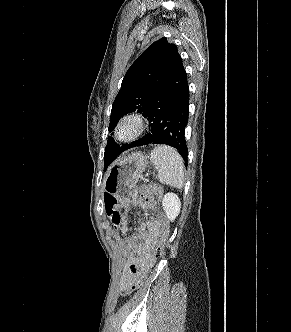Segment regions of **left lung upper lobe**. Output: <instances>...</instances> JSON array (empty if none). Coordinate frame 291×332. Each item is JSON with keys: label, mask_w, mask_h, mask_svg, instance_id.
Listing matches in <instances>:
<instances>
[{"label": "left lung upper lobe", "mask_w": 291, "mask_h": 332, "mask_svg": "<svg viewBox=\"0 0 291 332\" xmlns=\"http://www.w3.org/2000/svg\"><path fill=\"white\" fill-rule=\"evenodd\" d=\"M181 62L175 44L165 37L150 45L126 72L121 89L112 105L109 131L122 116L139 111L144 115L154 98L163 90ZM123 147V146H122ZM121 147L109 137L104 154V168Z\"/></svg>", "instance_id": "obj_1"}]
</instances>
